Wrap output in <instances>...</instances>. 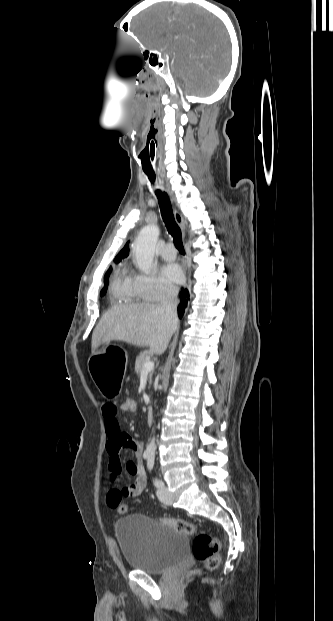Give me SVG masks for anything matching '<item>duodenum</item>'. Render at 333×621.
I'll return each mask as SVG.
<instances>
[{
  "label": "duodenum",
  "mask_w": 333,
  "mask_h": 621,
  "mask_svg": "<svg viewBox=\"0 0 333 621\" xmlns=\"http://www.w3.org/2000/svg\"><path fill=\"white\" fill-rule=\"evenodd\" d=\"M153 419H154V411L153 409L149 408L146 414L147 423L151 424L153 422Z\"/></svg>",
  "instance_id": "duodenum-1"
}]
</instances>
